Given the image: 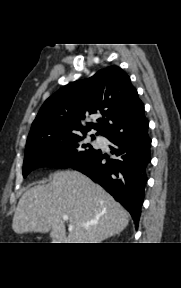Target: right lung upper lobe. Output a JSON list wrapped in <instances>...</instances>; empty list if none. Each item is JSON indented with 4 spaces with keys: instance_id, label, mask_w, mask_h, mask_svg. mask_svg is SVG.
<instances>
[{
    "instance_id": "obj_1",
    "label": "right lung upper lobe",
    "mask_w": 181,
    "mask_h": 288,
    "mask_svg": "<svg viewBox=\"0 0 181 288\" xmlns=\"http://www.w3.org/2000/svg\"><path fill=\"white\" fill-rule=\"evenodd\" d=\"M102 114L100 123L82 120ZM149 126L144 105L130 77L117 66L107 67L94 76L72 82L49 97L31 126L28 140L54 133L86 134L96 129L106 138L136 137ZM27 140V141H28Z\"/></svg>"
}]
</instances>
